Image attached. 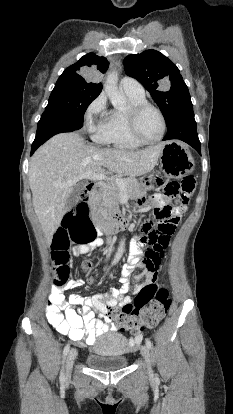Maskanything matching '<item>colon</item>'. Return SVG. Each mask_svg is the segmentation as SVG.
Masks as SVG:
<instances>
[{
	"mask_svg": "<svg viewBox=\"0 0 233 414\" xmlns=\"http://www.w3.org/2000/svg\"><path fill=\"white\" fill-rule=\"evenodd\" d=\"M161 185L160 179L155 180ZM195 188V179L192 175L186 176L181 183L171 181L164 185V193L174 198L178 206L186 205L189 196ZM87 192L83 190L80 197L83 200ZM172 212L170 207L156 209L155 218L159 221L156 227L151 222L143 225V235L139 238V245L148 248L139 257V264L148 271H155L163 258V249L168 244L174 232L175 225L171 223ZM95 239V230L89 217V210L85 203L78 204L73 211L64 218V224L57 230L52 241V259L55 264V284L62 288L70 278L71 244L86 246ZM82 268L88 271L91 268L89 261L82 263ZM74 281V280H73ZM171 304L169 292L166 288L149 284L143 287L133 301L125 300L118 307L109 306V322L113 328L121 332L137 334L145 327L152 328L165 316Z\"/></svg>",
	"mask_w": 233,
	"mask_h": 414,
	"instance_id": "1",
	"label": "colon"
}]
</instances>
